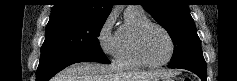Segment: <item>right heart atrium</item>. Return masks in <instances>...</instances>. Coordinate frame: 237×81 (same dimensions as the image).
<instances>
[{"label":"right heart atrium","mask_w":237,"mask_h":81,"mask_svg":"<svg viewBox=\"0 0 237 81\" xmlns=\"http://www.w3.org/2000/svg\"><path fill=\"white\" fill-rule=\"evenodd\" d=\"M114 27V16L108 15L102 22L98 34L97 41L102 52L109 56L115 57L117 48L116 33L113 31Z\"/></svg>","instance_id":"obj_1"}]
</instances>
